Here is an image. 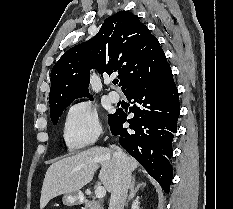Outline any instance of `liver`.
<instances>
[{"mask_svg":"<svg viewBox=\"0 0 233 209\" xmlns=\"http://www.w3.org/2000/svg\"><path fill=\"white\" fill-rule=\"evenodd\" d=\"M113 151L104 147H93L53 163L47 170L41 190L40 209L61 194L78 192L91 182L94 172L101 166L99 180L108 192H112L116 163ZM131 170L138 162L128 157Z\"/></svg>","mask_w":233,"mask_h":209,"instance_id":"obj_1","label":"liver"}]
</instances>
